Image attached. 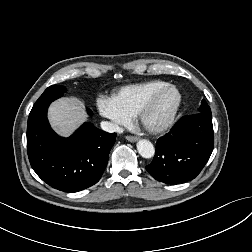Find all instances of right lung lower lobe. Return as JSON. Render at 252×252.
<instances>
[{
	"label": "right lung lower lobe",
	"mask_w": 252,
	"mask_h": 252,
	"mask_svg": "<svg viewBox=\"0 0 252 252\" xmlns=\"http://www.w3.org/2000/svg\"><path fill=\"white\" fill-rule=\"evenodd\" d=\"M48 106L28 117L27 151L33 170L45 183L64 192L96 184L107 166L116 134L84 123L70 137H60L49 125ZM88 113L92 115L90 109Z\"/></svg>",
	"instance_id": "98d812e1"
}]
</instances>
